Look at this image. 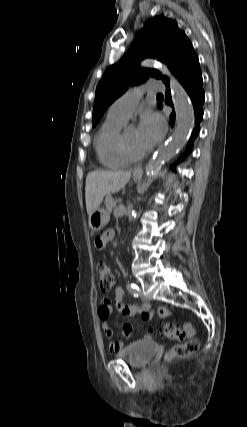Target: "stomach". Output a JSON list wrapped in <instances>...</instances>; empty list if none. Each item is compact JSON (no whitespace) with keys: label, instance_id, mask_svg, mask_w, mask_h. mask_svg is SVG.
Instances as JSON below:
<instances>
[{"label":"stomach","instance_id":"obj_1","mask_svg":"<svg viewBox=\"0 0 247 427\" xmlns=\"http://www.w3.org/2000/svg\"><path fill=\"white\" fill-rule=\"evenodd\" d=\"M108 221L109 212L101 208H97L89 216V226L93 231H100L104 228Z\"/></svg>","mask_w":247,"mask_h":427}]
</instances>
